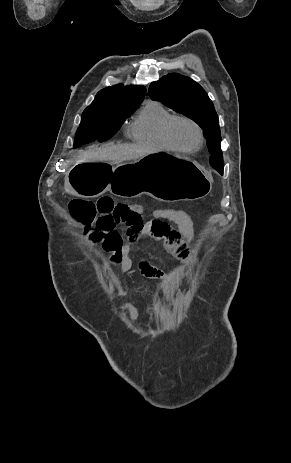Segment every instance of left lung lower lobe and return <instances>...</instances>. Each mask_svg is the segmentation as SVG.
I'll use <instances>...</instances> for the list:
<instances>
[{
  "instance_id": "1",
  "label": "left lung lower lobe",
  "mask_w": 291,
  "mask_h": 463,
  "mask_svg": "<svg viewBox=\"0 0 291 463\" xmlns=\"http://www.w3.org/2000/svg\"><path fill=\"white\" fill-rule=\"evenodd\" d=\"M219 173L223 174V170H221Z\"/></svg>"
}]
</instances>
